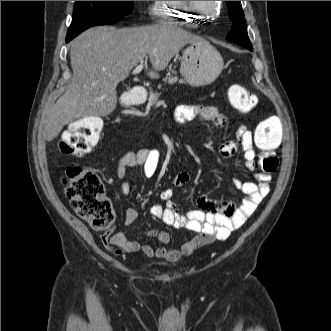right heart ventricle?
Masks as SVG:
<instances>
[{"label":"right heart ventricle","instance_id":"e07e8e85","mask_svg":"<svg viewBox=\"0 0 331 331\" xmlns=\"http://www.w3.org/2000/svg\"><path fill=\"white\" fill-rule=\"evenodd\" d=\"M187 1H153L151 13L158 22L180 24L183 26H197V24L211 15L209 11L196 12L187 7Z\"/></svg>","mask_w":331,"mask_h":331}]
</instances>
